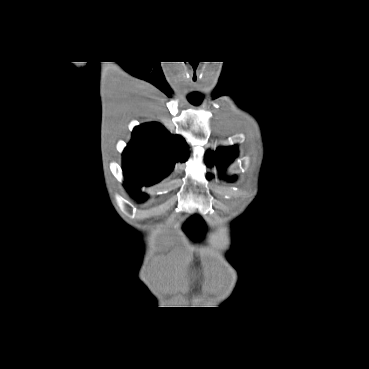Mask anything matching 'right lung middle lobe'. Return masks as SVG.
<instances>
[{"mask_svg":"<svg viewBox=\"0 0 369 369\" xmlns=\"http://www.w3.org/2000/svg\"><path fill=\"white\" fill-rule=\"evenodd\" d=\"M131 192V191H130ZM136 198H139V199H141V200H143V199H145L146 198V196H143V195H139V194H136V193H133V192H131Z\"/></svg>","mask_w":369,"mask_h":369,"instance_id":"obj_1","label":"right lung middle lobe"}]
</instances>
